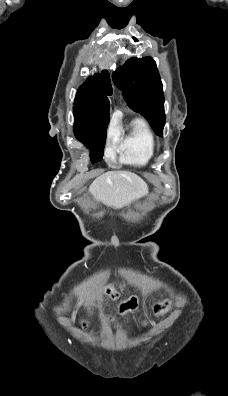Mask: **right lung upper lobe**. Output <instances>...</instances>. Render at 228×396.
<instances>
[{"label":"right lung upper lobe","instance_id":"cb5924a9","mask_svg":"<svg viewBox=\"0 0 228 396\" xmlns=\"http://www.w3.org/2000/svg\"><path fill=\"white\" fill-rule=\"evenodd\" d=\"M111 94L112 87L106 70L89 77L77 92L74 116L90 118L109 112L110 103L106 95Z\"/></svg>","mask_w":228,"mask_h":396}]
</instances>
